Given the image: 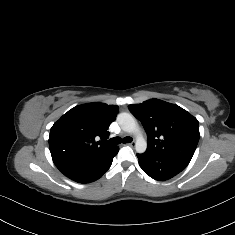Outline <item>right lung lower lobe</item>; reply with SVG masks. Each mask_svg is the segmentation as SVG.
<instances>
[{
	"mask_svg": "<svg viewBox=\"0 0 235 235\" xmlns=\"http://www.w3.org/2000/svg\"><path fill=\"white\" fill-rule=\"evenodd\" d=\"M119 147L100 155L52 156L56 167L69 179L78 183H91L103 176L110 168Z\"/></svg>",
	"mask_w": 235,
	"mask_h": 235,
	"instance_id": "1",
	"label": "right lung lower lobe"
}]
</instances>
